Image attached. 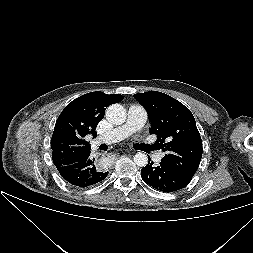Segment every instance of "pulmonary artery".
I'll return each instance as SVG.
<instances>
[{
    "instance_id": "pulmonary-artery-1",
    "label": "pulmonary artery",
    "mask_w": 253,
    "mask_h": 253,
    "mask_svg": "<svg viewBox=\"0 0 253 253\" xmlns=\"http://www.w3.org/2000/svg\"><path fill=\"white\" fill-rule=\"evenodd\" d=\"M146 121H147V112L145 108H143L141 105L138 104H131L128 107L126 122L123 125L118 126L112 129L111 131H108L98 136L94 140V143L98 145L102 143L111 144L121 141L124 138L131 135L132 133L141 129L146 123ZM162 155H163L162 153L156 154L154 160L156 162H159Z\"/></svg>"
}]
</instances>
